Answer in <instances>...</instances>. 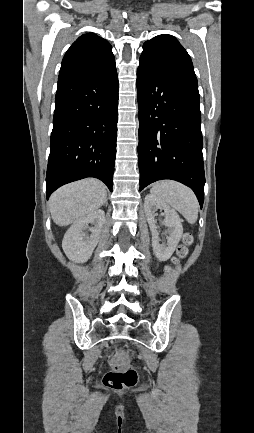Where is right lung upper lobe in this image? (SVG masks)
Masks as SVG:
<instances>
[{"label":"right lung upper lobe","instance_id":"cb5924a9","mask_svg":"<svg viewBox=\"0 0 254 433\" xmlns=\"http://www.w3.org/2000/svg\"><path fill=\"white\" fill-rule=\"evenodd\" d=\"M110 43L94 33L80 36L67 50L59 78L97 73L115 64Z\"/></svg>","mask_w":254,"mask_h":433}]
</instances>
